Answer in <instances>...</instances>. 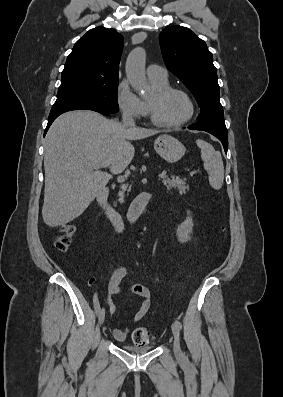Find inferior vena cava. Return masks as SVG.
<instances>
[{
    "instance_id": "602c4592",
    "label": "inferior vena cava",
    "mask_w": 283,
    "mask_h": 397,
    "mask_svg": "<svg viewBox=\"0 0 283 397\" xmlns=\"http://www.w3.org/2000/svg\"><path fill=\"white\" fill-rule=\"evenodd\" d=\"M123 125L125 127L133 128L135 127V122L130 113L124 112L122 115Z\"/></svg>"
}]
</instances>
